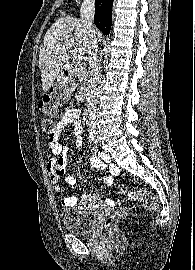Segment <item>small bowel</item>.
Instances as JSON below:
<instances>
[{"label":"small bowel","instance_id":"obj_1","mask_svg":"<svg viewBox=\"0 0 195 270\" xmlns=\"http://www.w3.org/2000/svg\"><path fill=\"white\" fill-rule=\"evenodd\" d=\"M81 110L78 108L66 110L60 117L56 124L55 130L52 135L49 136V146L52 151V157L47 163V172L50 177V181L58 192H61L60 182L61 178L64 177V182L68 186H73L75 184V179L71 175H65L66 173V158L67 147L59 142L60 134L63 130L70 124L73 125V132L77 138L76 149L79 153L82 151V133L83 124L80 119ZM91 166L95 168L107 167L109 170V175L105 176L103 179L102 187H109L113 184L114 176L120 173V169L113 163L110 162L109 158L105 155L94 152L91 160ZM77 168L75 165L74 170ZM83 203H98L99 200L92 193H84L81 196ZM78 201V196L76 195H63L62 205L64 207H73ZM116 201L113 199H107L106 205L113 207L116 205Z\"/></svg>","mask_w":195,"mask_h":270}]
</instances>
